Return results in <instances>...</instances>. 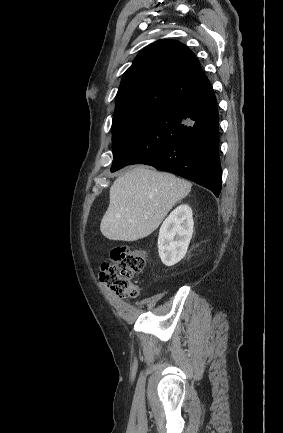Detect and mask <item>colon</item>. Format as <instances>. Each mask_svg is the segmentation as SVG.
<instances>
[{
    "mask_svg": "<svg viewBox=\"0 0 283 433\" xmlns=\"http://www.w3.org/2000/svg\"><path fill=\"white\" fill-rule=\"evenodd\" d=\"M145 262L146 255L142 250L116 247L101 264L100 280L120 297H136L139 289L131 280L143 271Z\"/></svg>",
    "mask_w": 283,
    "mask_h": 433,
    "instance_id": "5ec220e1",
    "label": "colon"
}]
</instances>
